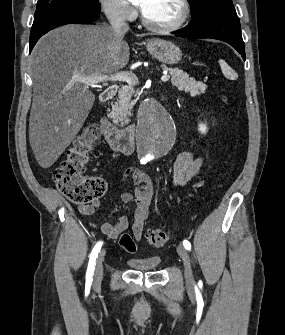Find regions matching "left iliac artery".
Instances as JSON below:
<instances>
[{"label": "left iliac artery", "mask_w": 285, "mask_h": 335, "mask_svg": "<svg viewBox=\"0 0 285 335\" xmlns=\"http://www.w3.org/2000/svg\"><path fill=\"white\" fill-rule=\"evenodd\" d=\"M183 245H184V247L186 248V250H191V244H190L189 241L184 240V241H183Z\"/></svg>", "instance_id": "left-iliac-artery-1"}]
</instances>
